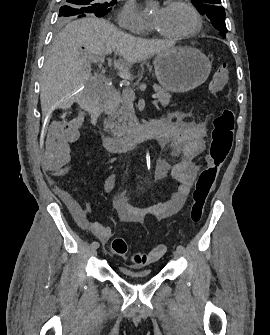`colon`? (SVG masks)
Instances as JSON below:
<instances>
[{
    "label": "colon",
    "instance_id": "5ec220e1",
    "mask_svg": "<svg viewBox=\"0 0 270 335\" xmlns=\"http://www.w3.org/2000/svg\"><path fill=\"white\" fill-rule=\"evenodd\" d=\"M229 78V67L226 62L216 70L210 82V91L218 94L223 91ZM212 140L209 148V163L200 172L192 193L189 219L192 223H199L204 215V208L208 196L218 179L219 169L231 152L234 138L235 114L231 108H224L213 118ZM113 252L121 257L127 254V242L122 237L114 238L111 242ZM166 246L157 245L145 253L133 254L131 263L135 267L149 265L158 261L166 254Z\"/></svg>",
    "mask_w": 270,
    "mask_h": 335
}]
</instances>
